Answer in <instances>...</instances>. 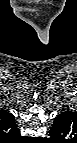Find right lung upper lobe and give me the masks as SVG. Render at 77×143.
<instances>
[{
  "mask_svg": "<svg viewBox=\"0 0 77 143\" xmlns=\"http://www.w3.org/2000/svg\"><path fill=\"white\" fill-rule=\"evenodd\" d=\"M0 127L5 134L17 135L19 134V129L14 120V116L4 110L0 111Z\"/></svg>",
  "mask_w": 77,
  "mask_h": 143,
  "instance_id": "1",
  "label": "right lung upper lobe"
}]
</instances>
